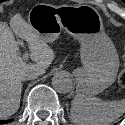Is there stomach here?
Returning a JSON list of instances; mask_svg holds the SVG:
<instances>
[{
	"label": "stomach",
	"instance_id": "1",
	"mask_svg": "<svg viewBox=\"0 0 125 125\" xmlns=\"http://www.w3.org/2000/svg\"><path fill=\"white\" fill-rule=\"evenodd\" d=\"M88 9L37 4L29 12L28 23L46 43L55 41L63 30L80 42L83 67L74 70V76L78 91L94 96L115 82L119 58L101 19Z\"/></svg>",
	"mask_w": 125,
	"mask_h": 125
}]
</instances>
